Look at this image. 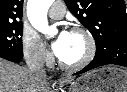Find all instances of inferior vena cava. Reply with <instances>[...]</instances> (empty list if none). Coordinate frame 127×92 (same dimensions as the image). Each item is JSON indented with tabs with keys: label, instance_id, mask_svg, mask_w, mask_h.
<instances>
[{
	"label": "inferior vena cava",
	"instance_id": "602c4592",
	"mask_svg": "<svg viewBox=\"0 0 127 92\" xmlns=\"http://www.w3.org/2000/svg\"><path fill=\"white\" fill-rule=\"evenodd\" d=\"M28 69L38 78L46 79L42 55H32L26 60Z\"/></svg>",
	"mask_w": 127,
	"mask_h": 92
}]
</instances>
